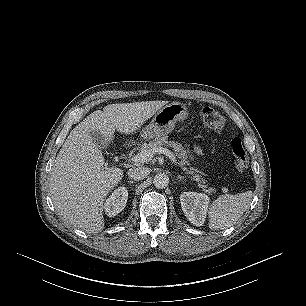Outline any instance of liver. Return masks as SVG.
Masks as SVG:
<instances>
[{"label":"liver","instance_id":"obj_1","mask_svg":"<svg viewBox=\"0 0 306 306\" xmlns=\"http://www.w3.org/2000/svg\"><path fill=\"white\" fill-rule=\"evenodd\" d=\"M166 104L168 101L110 104L91 113L70 132L49 178L51 198L60 217L87 233L103 230L104 201L122 179L123 170L105 162L91 132L101 133L108 145L115 130L135 133Z\"/></svg>","mask_w":306,"mask_h":306}]
</instances>
